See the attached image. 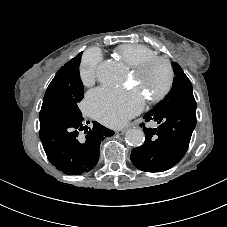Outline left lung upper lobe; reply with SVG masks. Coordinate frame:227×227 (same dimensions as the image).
Here are the masks:
<instances>
[{
	"label": "left lung upper lobe",
	"instance_id": "1",
	"mask_svg": "<svg viewBox=\"0 0 227 227\" xmlns=\"http://www.w3.org/2000/svg\"><path fill=\"white\" fill-rule=\"evenodd\" d=\"M172 66L175 73L173 87L153 111L164 112L176 109L196 114L192 84L176 62H172Z\"/></svg>",
	"mask_w": 227,
	"mask_h": 227
}]
</instances>
